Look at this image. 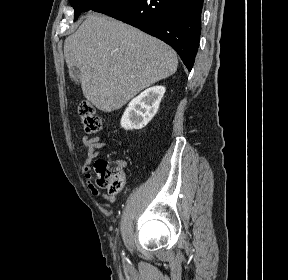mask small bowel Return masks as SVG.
<instances>
[{"mask_svg": "<svg viewBox=\"0 0 288 280\" xmlns=\"http://www.w3.org/2000/svg\"><path fill=\"white\" fill-rule=\"evenodd\" d=\"M82 142L84 146L87 147V159L82 166V172L86 176L88 188L92 192V194L96 197H102L104 202L103 206L107 207L110 203L115 200V195L112 194H104L100 191V189L92 182V168L91 163L92 161L100 156V150L106 146V143L103 142L100 137H88L84 136L82 138ZM123 167H126V163L122 162Z\"/></svg>", "mask_w": 288, "mask_h": 280, "instance_id": "obj_1", "label": "small bowel"}]
</instances>
